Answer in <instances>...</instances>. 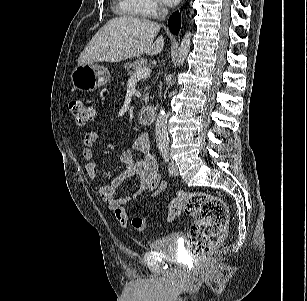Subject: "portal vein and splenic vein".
I'll return each instance as SVG.
<instances>
[{"mask_svg":"<svg viewBox=\"0 0 307 301\" xmlns=\"http://www.w3.org/2000/svg\"><path fill=\"white\" fill-rule=\"evenodd\" d=\"M150 74H151V69L149 67H142L137 69L130 79L139 80L141 78L150 76Z\"/></svg>","mask_w":307,"mask_h":301,"instance_id":"obj_1","label":"portal vein and splenic vein"}]
</instances>
